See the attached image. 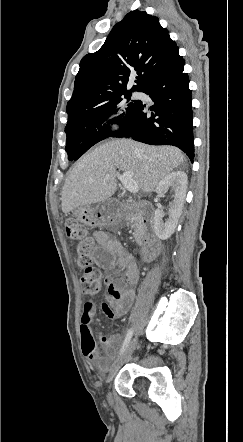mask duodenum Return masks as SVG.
Wrapping results in <instances>:
<instances>
[{"instance_id":"duodenum-1","label":"duodenum","mask_w":243,"mask_h":442,"mask_svg":"<svg viewBox=\"0 0 243 442\" xmlns=\"http://www.w3.org/2000/svg\"><path fill=\"white\" fill-rule=\"evenodd\" d=\"M138 211V221L143 235L142 259L148 261L157 249L158 238L155 234L149 205L144 203L139 204Z\"/></svg>"}]
</instances>
